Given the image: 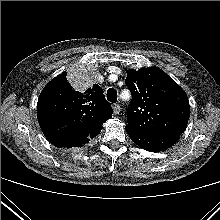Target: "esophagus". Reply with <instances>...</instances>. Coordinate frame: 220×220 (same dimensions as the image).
Returning a JSON list of instances; mask_svg holds the SVG:
<instances>
[{"mask_svg": "<svg viewBox=\"0 0 220 220\" xmlns=\"http://www.w3.org/2000/svg\"><path fill=\"white\" fill-rule=\"evenodd\" d=\"M120 111H121L120 105H119V104H115V105L113 106V112H114V114L117 115V114L120 113Z\"/></svg>", "mask_w": 220, "mask_h": 220, "instance_id": "34e87169", "label": "esophagus"}]
</instances>
